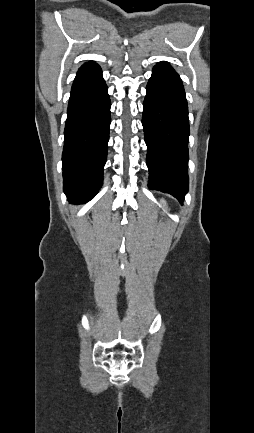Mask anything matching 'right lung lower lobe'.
Listing matches in <instances>:
<instances>
[{
    "label": "right lung lower lobe",
    "mask_w": 254,
    "mask_h": 433,
    "mask_svg": "<svg viewBox=\"0 0 254 433\" xmlns=\"http://www.w3.org/2000/svg\"><path fill=\"white\" fill-rule=\"evenodd\" d=\"M110 107L101 68L85 63L72 85L64 130L63 190L69 202L91 199L102 185Z\"/></svg>",
    "instance_id": "98d812e1"
}]
</instances>
